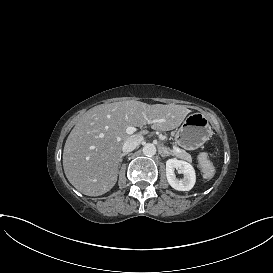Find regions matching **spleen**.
Returning a JSON list of instances; mask_svg holds the SVG:
<instances>
[{
  "instance_id": "obj_1",
  "label": "spleen",
  "mask_w": 273,
  "mask_h": 273,
  "mask_svg": "<svg viewBox=\"0 0 273 273\" xmlns=\"http://www.w3.org/2000/svg\"><path fill=\"white\" fill-rule=\"evenodd\" d=\"M213 176H214V174H210V175L208 176V179H211Z\"/></svg>"
}]
</instances>
